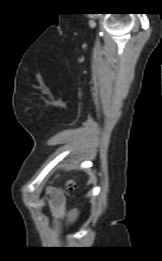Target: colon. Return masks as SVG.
<instances>
[{
  "mask_svg": "<svg viewBox=\"0 0 162 261\" xmlns=\"http://www.w3.org/2000/svg\"><path fill=\"white\" fill-rule=\"evenodd\" d=\"M74 188H75V183L74 182H69L68 189L69 190H74Z\"/></svg>",
  "mask_w": 162,
  "mask_h": 261,
  "instance_id": "colon-1",
  "label": "colon"
}]
</instances>
